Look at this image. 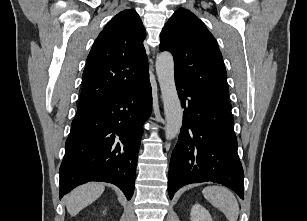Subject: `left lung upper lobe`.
Returning <instances> with one entry per match:
<instances>
[{"mask_svg": "<svg viewBox=\"0 0 307 221\" xmlns=\"http://www.w3.org/2000/svg\"><path fill=\"white\" fill-rule=\"evenodd\" d=\"M161 51L174 57L175 77L197 94L231 111L226 69L213 35L204 23L187 9L171 16L160 36Z\"/></svg>", "mask_w": 307, "mask_h": 221, "instance_id": "5c2ea615", "label": "left lung upper lobe"}]
</instances>
